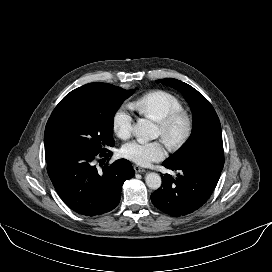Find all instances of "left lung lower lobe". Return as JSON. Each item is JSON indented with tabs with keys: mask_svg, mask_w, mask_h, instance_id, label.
I'll return each instance as SVG.
<instances>
[{
	"mask_svg": "<svg viewBox=\"0 0 272 272\" xmlns=\"http://www.w3.org/2000/svg\"><path fill=\"white\" fill-rule=\"evenodd\" d=\"M163 166L177 171V177L162 176V186L152 193L155 207L172 216H184L201 208L215 189L222 169L191 159L164 161Z\"/></svg>",
	"mask_w": 272,
	"mask_h": 272,
	"instance_id": "obj_1",
	"label": "left lung lower lobe"
}]
</instances>
